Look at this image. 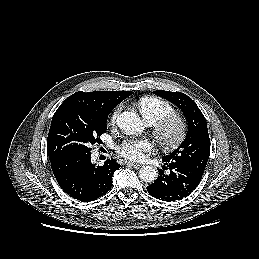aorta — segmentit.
Segmentation results:
<instances>
[{"label": "aorta", "instance_id": "obj_1", "mask_svg": "<svg viewBox=\"0 0 259 259\" xmlns=\"http://www.w3.org/2000/svg\"><path fill=\"white\" fill-rule=\"evenodd\" d=\"M118 127L127 134L135 132L141 133L144 129L139 115L132 111H124L117 117ZM157 171L151 166H142L139 171V177L142 181L151 183L157 178Z\"/></svg>", "mask_w": 259, "mask_h": 259}]
</instances>
